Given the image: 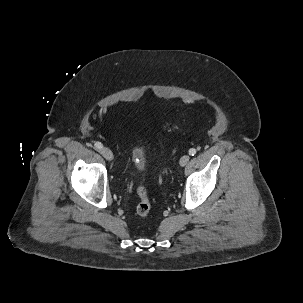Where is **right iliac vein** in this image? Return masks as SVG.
<instances>
[{
  "label": "right iliac vein",
  "instance_id": "obj_1",
  "mask_svg": "<svg viewBox=\"0 0 303 303\" xmlns=\"http://www.w3.org/2000/svg\"><path fill=\"white\" fill-rule=\"evenodd\" d=\"M100 153L102 154V156L108 160L111 161L113 159V153L110 149L104 147L100 150Z\"/></svg>",
  "mask_w": 303,
  "mask_h": 303
}]
</instances>
